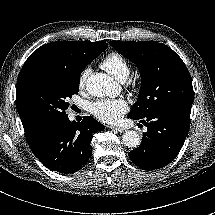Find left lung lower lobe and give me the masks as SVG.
Masks as SVG:
<instances>
[{"mask_svg":"<svg viewBox=\"0 0 215 215\" xmlns=\"http://www.w3.org/2000/svg\"><path fill=\"white\" fill-rule=\"evenodd\" d=\"M191 106L161 109L140 119L147 132L140 146L129 152L131 161L144 170L159 169L172 162L189 131Z\"/></svg>","mask_w":215,"mask_h":215,"instance_id":"left-lung-lower-lobe-1","label":"left lung lower lobe"}]
</instances>
